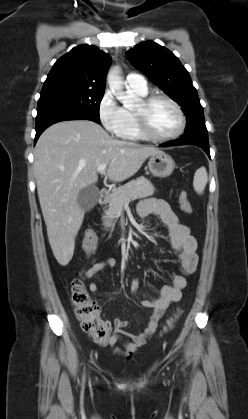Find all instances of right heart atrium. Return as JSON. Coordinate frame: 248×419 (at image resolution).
Masks as SVG:
<instances>
[{
    "label": "right heart atrium",
    "instance_id": "1",
    "mask_svg": "<svg viewBox=\"0 0 248 419\" xmlns=\"http://www.w3.org/2000/svg\"><path fill=\"white\" fill-rule=\"evenodd\" d=\"M98 116L108 132L118 137L122 136L126 124L125 109L119 105L110 90L105 91L100 99Z\"/></svg>",
    "mask_w": 248,
    "mask_h": 419
}]
</instances>
